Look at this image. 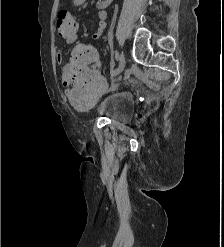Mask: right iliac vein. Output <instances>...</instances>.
<instances>
[{
    "instance_id": "right-iliac-vein-1",
    "label": "right iliac vein",
    "mask_w": 224,
    "mask_h": 247,
    "mask_svg": "<svg viewBox=\"0 0 224 247\" xmlns=\"http://www.w3.org/2000/svg\"><path fill=\"white\" fill-rule=\"evenodd\" d=\"M124 67H125V57L122 54L120 57L118 68H117L118 74H120L124 70Z\"/></svg>"
}]
</instances>
